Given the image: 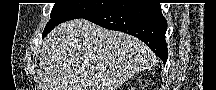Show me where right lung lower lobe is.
Instances as JSON below:
<instances>
[{"label": "right lung lower lobe", "instance_id": "obj_1", "mask_svg": "<svg viewBox=\"0 0 216 90\" xmlns=\"http://www.w3.org/2000/svg\"><path fill=\"white\" fill-rule=\"evenodd\" d=\"M101 27L122 31L142 40L166 63L165 42L167 21L159 4H113L94 15L85 17Z\"/></svg>", "mask_w": 216, "mask_h": 90}]
</instances>
